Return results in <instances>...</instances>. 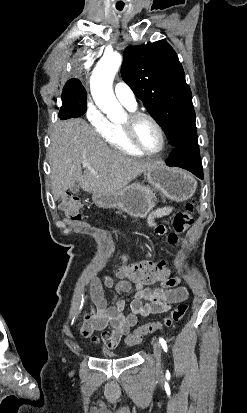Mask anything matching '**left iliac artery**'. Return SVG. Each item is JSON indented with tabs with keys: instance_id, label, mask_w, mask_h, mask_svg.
Returning a JSON list of instances; mask_svg holds the SVG:
<instances>
[{
	"instance_id": "44dca946",
	"label": "left iliac artery",
	"mask_w": 247,
	"mask_h": 413,
	"mask_svg": "<svg viewBox=\"0 0 247 413\" xmlns=\"http://www.w3.org/2000/svg\"><path fill=\"white\" fill-rule=\"evenodd\" d=\"M159 342H160L162 348L164 349V351L167 352V349H168V348H167V343H166V341H165L163 338H159Z\"/></svg>"
}]
</instances>
